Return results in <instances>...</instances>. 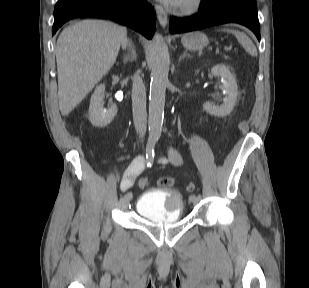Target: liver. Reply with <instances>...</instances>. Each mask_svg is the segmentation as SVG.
<instances>
[{
  "label": "liver",
  "instance_id": "obj_1",
  "mask_svg": "<svg viewBox=\"0 0 309 288\" xmlns=\"http://www.w3.org/2000/svg\"><path fill=\"white\" fill-rule=\"evenodd\" d=\"M127 30L102 20H83L66 27L56 45L59 109L68 115L116 61Z\"/></svg>",
  "mask_w": 309,
  "mask_h": 288
}]
</instances>
